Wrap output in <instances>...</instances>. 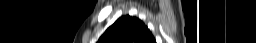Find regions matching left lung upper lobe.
I'll return each mask as SVG.
<instances>
[{
    "label": "left lung upper lobe",
    "mask_w": 256,
    "mask_h": 43,
    "mask_svg": "<svg viewBox=\"0 0 256 43\" xmlns=\"http://www.w3.org/2000/svg\"><path fill=\"white\" fill-rule=\"evenodd\" d=\"M97 43H156L150 30L136 17H120Z\"/></svg>",
    "instance_id": "5c2ea615"
}]
</instances>
